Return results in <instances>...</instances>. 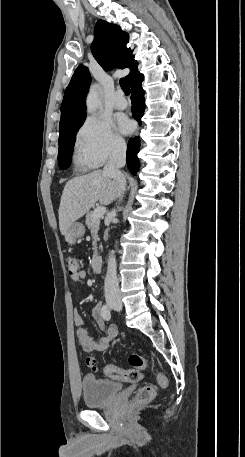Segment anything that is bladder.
Returning <instances> with one entry per match:
<instances>
[{
    "mask_svg": "<svg viewBox=\"0 0 245 457\" xmlns=\"http://www.w3.org/2000/svg\"><path fill=\"white\" fill-rule=\"evenodd\" d=\"M85 406L109 404L113 395H118L120 383L111 380L95 379L86 375L82 380Z\"/></svg>",
    "mask_w": 245,
    "mask_h": 457,
    "instance_id": "1",
    "label": "bladder"
}]
</instances>
